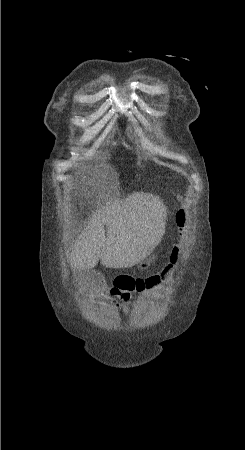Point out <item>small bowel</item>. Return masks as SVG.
I'll use <instances>...</instances> for the list:
<instances>
[{"label": "small bowel", "instance_id": "1", "mask_svg": "<svg viewBox=\"0 0 245 450\" xmlns=\"http://www.w3.org/2000/svg\"><path fill=\"white\" fill-rule=\"evenodd\" d=\"M170 275V269L165 270L164 274L162 275V277H167ZM127 277V276H122V278ZM161 276L159 275H153L148 277L145 281H144V287H142L140 294H148L150 292V290L157 288L159 281H160ZM110 305L115 308L118 309L119 311H122L124 314H129L132 310V308L130 306L127 305V303L133 298V294L129 291L126 290H119L117 288H112L110 290ZM94 302L96 304H103L104 303V299L102 297H96L94 298Z\"/></svg>", "mask_w": 245, "mask_h": 450}]
</instances>
